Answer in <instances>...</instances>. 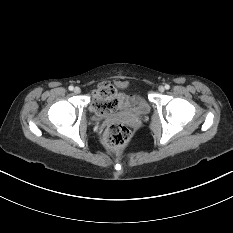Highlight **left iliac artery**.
I'll return each instance as SVG.
<instances>
[{
  "label": "left iliac artery",
  "mask_w": 233,
  "mask_h": 233,
  "mask_svg": "<svg viewBox=\"0 0 233 233\" xmlns=\"http://www.w3.org/2000/svg\"><path fill=\"white\" fill-rule=\"evenodd\" d=\"M169 88H170V85L166 84V85H165V89L168 90Z\"/></svg>",
  "instance_id": "left-iliac-artery-1"
}]
</instances>
